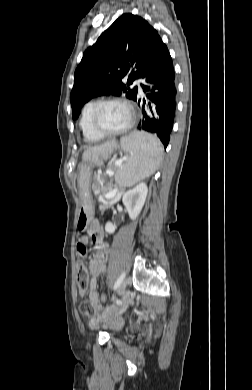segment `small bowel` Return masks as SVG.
Returning a JSON list of instances; mask_svg holds the SVG:
<instances>
[{"label": "small bowel", "mask_w": 252, "mask_h": 390, "mask_svg": "<svg viewBox=\"0 0 252 390\" xmlns=\"http://www.w3.org/2000/svg\"><path fill=\"white\" fill-rule=\"evenodd\" d=\"M104 231L97 223H94L89 230V235L79 238L77 243V251L80 256H86L87 245L92 243L96 246L93 259L90 263L89 269L91 279L89 284V299L93 303L97 311H102L99 294L97 292V278L106 273V264L108 261L109 247L103 242Z\"/></svg>", "instance_id": "1"}]
</instances>
